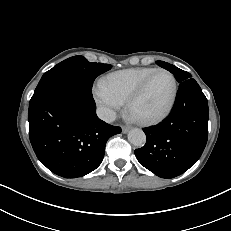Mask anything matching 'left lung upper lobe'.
<instances>
[{
	"mask_svg": "<svg viewBox=\"0 0 231 231\" xmlns=\"http://www.w3.org/2000/svg\"><path fill=\"white\" fill-rule=\"evenodd\" d=\"M156 63L159 66H161V67L165 68L166 70L170 71L171 73H173L176 80L179 83L191 78V75L188 72L183 71V70L175 67L174 65H171V64L163 62V61H157Z\"/></svg>",
	"mask_w": 231,
	"mask_h": 231,
	"instance_id": "left-lung-upper-lobe-1",
	"label": "left lung upper lobe"
}]
</instances>
